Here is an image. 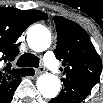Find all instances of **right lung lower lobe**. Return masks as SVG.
Here are the masks:
<instances>
[{
    "mask_svg": "<svg viewBox=\"0 0 103 103\" xmlns=\"http://www.w3.org/2000/svg\"><path fill=\"white\" fill-rule=\"evenodd\" d=\"M20 81H21V78H18L8 87L3 85V87L0 88V103H9L12 100L13 94L17 86L19 85Z\"/></svg>",
    "mask_w": 103,
    "mask_h": 103,
    "instance_id": "98d812e1",
    "label": "right lung lower lobe"
}]
</instances>
